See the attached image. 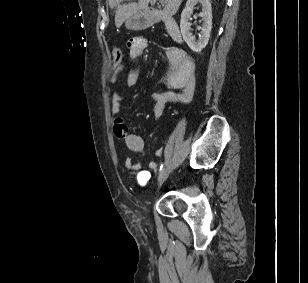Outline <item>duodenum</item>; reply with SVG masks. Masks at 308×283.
I'll list each match as a JSON object with an SVG mask.
<instances>
[{
	"label": "duodenum",
	"mask_w": 308,
	"mask_h": 283,
	"mask_svg": "<svg viewBox=\"0 0 308 283\" xmlns=\"http://www.w3.org/2000/svg\"><path fill=\"white\" fill-rule=\"evenodd\" d=\"M145 19L148 24L162 22L169 37L176 43L182 42L180 27L173 17L165 15L156 9L149 8L145 12Z\"/></svg>",
	"instance_id": "obj_1"
}]
</instances>
